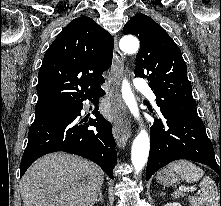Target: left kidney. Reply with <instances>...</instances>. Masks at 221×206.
Listing matches in <instances>:
<instances>
[{
    "instance_id": "5707ae66",
    "label": "left kidney",
    "mask_w": 221,
    "mask_h": 206,
    "mask_svg": "<svg viewBox=\"0 0 221 206\" xmlns=\"http://www.w3.org/2000/svg\"><path fill=\"white\" fill-rule=\"evenodd\" d=\"M165 206H182L180 203L173 202V203H167Z\"/></svg>"
}]
</instances>
